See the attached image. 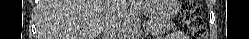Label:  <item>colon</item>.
Instances as JSON below:
<instances>
[{
  "mask_svg": "<svg viewBox=\"0 0 249 39\" xmlns=\"http://www.w3.org/2000/svg\"><path fill=\"white\" fill-rule=\"evenodd\" d=\"M199 12L200 8L198 7L197 1H184L182 14L188 30L192 34V39H202L206 34L205 28L199 21Z\"/></svg>",
  "mask_w": 249,
  "mask_h": 39,
  "instance_id": "1",
  "label": "colon"
}]
</instances>
